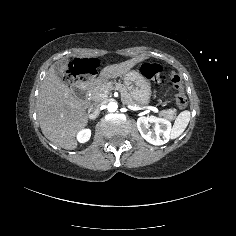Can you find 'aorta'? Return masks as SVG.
<instances>
[{
	"instance_id": "aorta-1",
	"label": "aorta",
	"mask_w": 236,
	"mask_h": 236,
	"mask_svg": "<svg viewBox=\"0 0 236 236\" xmlns=\"http://www.w3.org/2000/svg\"><path fill=\"white\" fill-rule=\"evenodd\" d=\"M107 109L109 112H115L117 110V104L115 102H110L107 105Z\"/></svg>"
}]
</instances>
